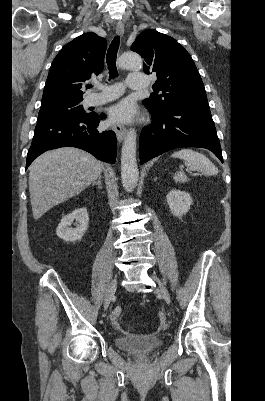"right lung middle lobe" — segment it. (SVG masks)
<instances>
[{"instance_id": "obj_1", "label": "right lung middle lobe", "mask_w": 265, "mask_h": 401, "mask_svg": "<svg viewBox=\"0 0 265 401\" xmlns=\"http://www.w3.org/2000/svg\"><path fill=\"white\" fill-rule=\"evenodd\" d=\"M83 99L61 100L52 103L42 104L38 120L49 116H84L87 115L81 104Z\"/></svg>"}]
</instances>
